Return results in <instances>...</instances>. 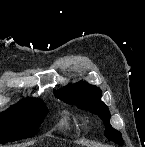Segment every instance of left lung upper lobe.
Wrapping results in <instances>:
<instances>
[{
    "instance_id": "left-lung-upper-lobe-1",
    "label": "left lung upper lobe",
    "mask_w": 145,
    "mask_h": 147,
    "mask_svg": "<svg viewBox=\"0 0 145 147\" xmlns=\"http://www.w3.org/2000/svg\"><path fill=\"white\" fill-rule=\"evenodd\" d=\"M101 93L98 87L84 82L69 84L62 89L54 90L55 96L62 101L97 114L106 126L105 136L109 140L123 145L121 133L115 130L109 123L110 112L108 107L101 101Z\"/></svg>"
}]
</instances>
